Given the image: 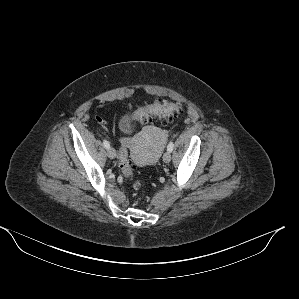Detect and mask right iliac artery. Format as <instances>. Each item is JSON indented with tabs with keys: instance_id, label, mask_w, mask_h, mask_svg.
<instances>
[{
	"instance_id": "right-iliac-artery-1",
	"label": "right iliac artery",
	"mask_w": 299,
	"mask_h": 299,
	"mask_svg": "<svg viewBox=\"0 0 299 299\" xmlns=\"http://www.w3.org/2000/svg\"><path fill=\"white\" fill-rule=\"evenodd\" d=\"M103 145H104V147H105L106 149H109V148H110V144H109V142H108L107 140H104V141H103Z\"/></svg>"
}]
</instances>
